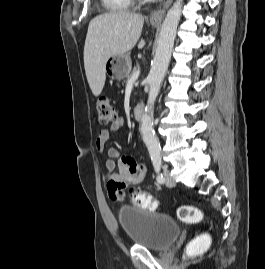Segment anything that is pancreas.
Segmentation results:
<instances>
[{"label": "pancreas", "instance_id": "cf45deb5", "mask_svg": "<svg viewBox=\"0 0 265 269\" xmlns=\"http://www.w3.org/2000/svg\"><path fill=\"white\" fill-rule=\"evenodd\" d=\"M136 71H137V68H134L132 70V72H130V74L126 76V81H129V79L131 78V76L133 75V73L136 72Z\"/></svg>", "mask_w": 265, "mask_h": 269}]
</instances>
